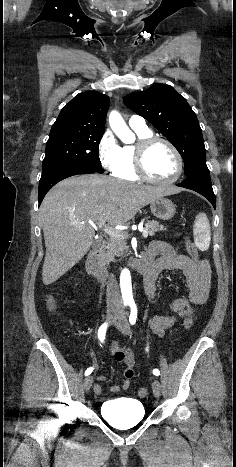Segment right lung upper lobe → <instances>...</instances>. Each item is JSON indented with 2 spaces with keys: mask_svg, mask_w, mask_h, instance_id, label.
Listing matches in <instances>:
<instances>
[{
  "mask_svg": "<svg viewBox=\"0 0 236 467\" xmlns=\"http://www.w3.org/2000/svg\"><path fill=\"white\" fill-rule=\"evenodd\" d=\"M109 105V97L104 94L80 93L62 108L52 128L104 131Z\"/></svg>",
  "mask_w": 236,
  "mask_h": 467,
  "instance_id": "obj_1",
  "label": "right lung upper lobe"
}]
</instances>
